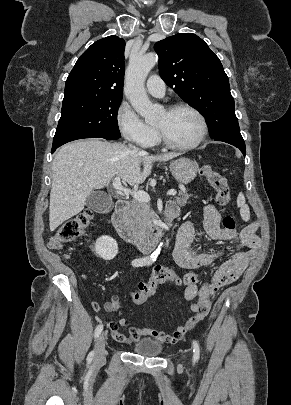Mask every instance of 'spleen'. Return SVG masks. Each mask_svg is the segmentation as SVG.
<instances>
[{
	"label": "spleen",
	"instance_id": "spleen-1",
	"mask_svg": "<svg viewBox=\"0 0 291 405\" xmlns=\"http://www.w3.org/2000/svg\"><path fill=\"white\" fill-rule=\"evenodd\" d=\"M237 206L240 208V213L243 219H249V207L246 204L245 197L243 193H239L237 197Z\"/></svg>",
	"mask_w": 291,
	"mask_h": 405
}]
</instances>
